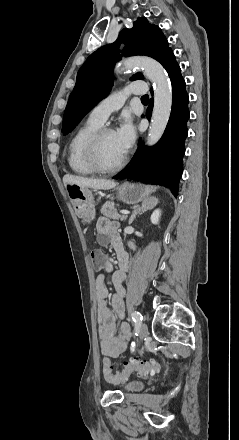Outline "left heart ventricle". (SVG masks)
Segmentation results:
<instances>
[{
	"label": "left heart ventricle",
	"instance_id": "b2bd125f",
	"mask_svg": "<svg viewBox=\"0 0 239 440\" xmlns=\"http://www.w3.org/2000/svg\"><path fill=\"white\" fill-rule=\"evenodd\" d=\"M124 154L114 131L107 132L100 141L99 157L101 162L107 167H112Z\"/></svg>",
	"mask_w": 239,
	"mask_h": 440
}]
</instances>
